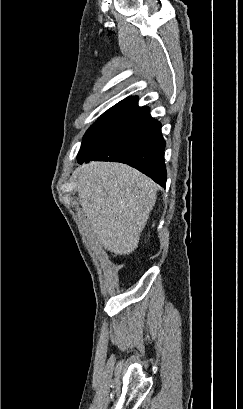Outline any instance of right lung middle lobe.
Instances as JSON below:
<instances>
[{
    "label": "right lung middle lobe",
    "instance_id": "obj_1",
    "mask_svg": "<svg viewBox=\"0 0 243 409\" xmlns=\"http://www.w3.org/2000/svg\"><path fill=\"white\" fill-rule=\"evenodd\" d=\"M122 102L117 103L113 107H111L109 110H107L86 132L84 136V140L92 134L96 129H98L109 117H111L117 109L120 107Z\"/></svg>",
    "mask_w": 243,
    "mask_h": 409
}]
</instances>
